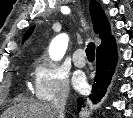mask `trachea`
Segmentation results:
<instances>
[{
  "label": "trachea",
  "instance_id": "trachea-1",
  "mask_svg": "<svg viewBox=\"0 0 133 118\" xmlns=\"http://www.w3.org/2000/svg\"><path fill=\"white\" fill-rule=\"evenodd\" d=\"M86 55L88 59L94 60L95 58V44L90 42L86 48Z\"/></svg>",
  "mask_w": 133,
  "mask_h": 118
}]
</instances>
